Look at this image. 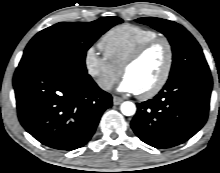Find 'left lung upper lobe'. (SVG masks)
Returning <instances> with one entry per match:
<instances>
[{"mask_svg":"<svg viewBox=\"0 0 220 173\" xmlns=\"http://www.w3.org/2000/svg\"><path fill=\"white\" fill-rule=\"evenodd\" d=\"M137 21L163 33L172 46L173 63L166 84L183 77L210 74L200 45L183 26L173 21L155 17L139 18Z\"/></svg>","mask_w":220,"mask_h":173,"instance_id":"5c2ea615","label":"left lung upper lobe"}]
</instances>
